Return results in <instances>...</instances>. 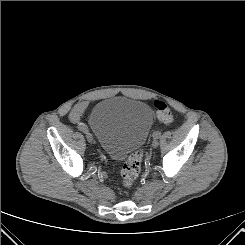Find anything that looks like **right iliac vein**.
Returning <instances> with one entry per match:
<instances>
[{
  "label": "right iliac vein",
  "instance_id": "63e3f726",
  "mask_svg": "<svg viewBox=\"0 0 245 245\" xmlns=\"http://www.w3.org/2000/svg\"><path fill=\"white\" fill-rule=\"evenodd\" d=\"M84 133H85V137L88 140V142L92 143L93 142V136L91 135V133H89L88 131H86Z\"/></svg>",
  "mask_w": 245,
  "mask_h": 245
}]
</instances>
